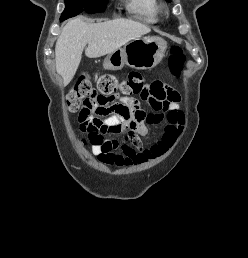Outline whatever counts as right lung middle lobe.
<instances>
[{"label":"right lung middle lobe","instance_id":"dd1d6c3e","mask_svg":"<svg viewBox=\"0 0 248 258\" xmlns=\"http://www.w3.org/2000/svg\"><path fill=\"white\" fill-rule=\"evenodd\" d=\"M107 0H65V10L60 21L76 16L83 12L99 13L105 11Z\"/></svg>","mask_w":248,"mask_h":258}]
</instances>
